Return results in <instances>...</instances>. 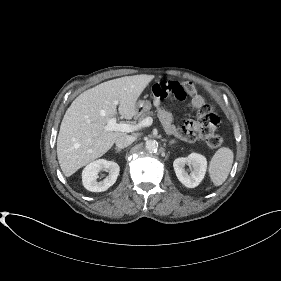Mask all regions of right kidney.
<instances>
[{
    "label": "right kidney",
    "instance_id": "ca27d5eb",
    "mask_svg": "<svg viewBox=\"0 0 281 281\" xmlns=\"http://www.w3.org/2000/svg\"><path fill=\"white\" fill-rule=\"evenodd\" d=\"M105 170L108 175L105 179L97 181L99 173ZM120 167L116 162L99 159L89 163L82 172V182L84 187L91 192L106 191L117 180Z\"/></svg>",
    "mask_w": 281,
    "mask_h": 281
}]
</instances>
